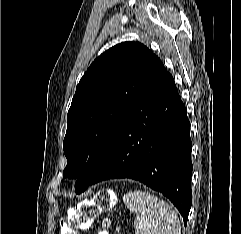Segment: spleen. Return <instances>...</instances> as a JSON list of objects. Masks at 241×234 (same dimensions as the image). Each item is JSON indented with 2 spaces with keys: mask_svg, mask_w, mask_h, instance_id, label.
<instances>
[{
  "mask_svg": "<svg viewBox=\"0 0 241 234\" xmlns=\"http://www.w3.org/2000/svg\"><path fill=\"white\" fill-rule=\"evenodd\" d=\"M126 206L135 213V234H181L180 221L170 205L146 191L128 192Z\"/></svg>",
  "mask_w": 241,
  "mask_h": 234,
  "instance_id": "spleen-1",
  "label": "spleen"
}]
</instances>
